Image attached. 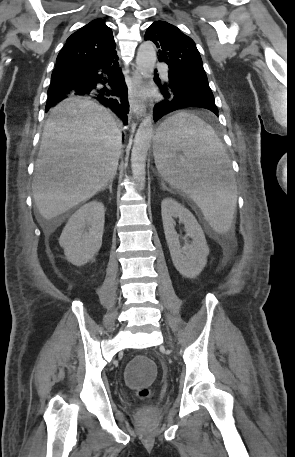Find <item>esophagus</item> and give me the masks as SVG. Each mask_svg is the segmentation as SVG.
Here are the masks:
<instances>
[{
	"label": "esophagus",
	"instance_id": "esophagus-1",
	"mask_svg": "<svg viewBox=\"0 0 295 457\" xmlns=\"http://www.w3.org/2000/svg\"><path fill=\"white\" fill-rule=\"evenodd\" d=\"M142 86V76L135 70L132 75V91L129 93V104L131 112L138 118L144 116L146 110V105L141 95Z\"/></svg>",
	"mask_w": 295,
	"mask_h": 457
}]
</instances>
